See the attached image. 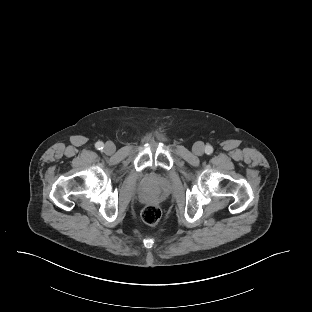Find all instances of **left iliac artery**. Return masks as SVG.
<instances>
[{
    "instance_id": "left-iliac-artery-1",
    "label": "left iliac artery",
    "mask_w": 312,
    "mask_h": 312,
    "mask_svg": "<svg viewBox=\"0 0 312 312\" xmlns=\"http://www.w3.org/2000/svg\"><path fill=\"white\" fill-rule=\"evenodd\" d=\"M213 152V147L211 145H207L205 147V153L206 154H211Z\"/></svg>"
}]
</instances>
